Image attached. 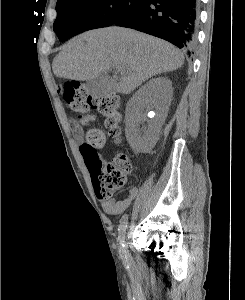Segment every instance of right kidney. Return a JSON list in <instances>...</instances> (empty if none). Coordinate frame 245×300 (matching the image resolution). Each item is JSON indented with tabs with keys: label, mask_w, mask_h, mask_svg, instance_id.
Instances as JSON below:
<instances>
[{
	"label": "right kidney",
	"mask_w": 245,
	"mask_h": 300,
	"mask_svg": "<svg viewBox=\"0 0 245 300\" xmlns=\"http://www.w3.org/2000/svg\"><path fill=\"white\" fill-rule=\"evenodd\" d=\"M172 95L171 81L166 77H157L143 85L128 101L125 135L133 149L147 152L154 147L167 117ZM151 110L154 115L148 120L147 112ZM145 121L148 122L147 126L143 125Z\"/></svg>",
	"instance_id": "right-kidney-1"
}]
</instances>
